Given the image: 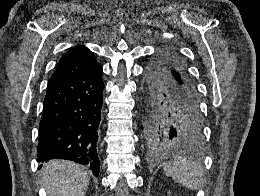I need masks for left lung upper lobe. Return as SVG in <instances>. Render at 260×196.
<instances>
[{
    "instance_id": "obj_1",
    "label": "left lung upper lobe",
    "mask_w": 260,
    "mask_h": 196,
    "mask_svg": "<svg viewBox=\"0 0 260 196\" xmlns=\"http://www.w3.org/2000/svg\"><path fill=\"white\" fill-rule=\"evenodd\" d=\"M142 99L143 141L151 152L196 146L203 141V120L194 81L173 48L152 59Z\"/></svg>"
}]
</instances>
